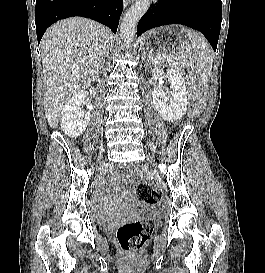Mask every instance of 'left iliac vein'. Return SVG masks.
Here are the masks:
<instances>
[{
    "instance_id": "left-iliac-vein-1",
    "label": "left iliac vein",
    "mask_w": 265,
    "mask_h": 273,
    "mask_svg": "<svg viewBox=\"0 0 265 273\" xmlns=\"http://www.w3.org/2000/svg\"><path fill=\"white\" fill-rule=\"evenodd\" d=\"M149 145H150L151 148H155V145H154L153 142H149Z\"/></svg>"
}]
</instances>
